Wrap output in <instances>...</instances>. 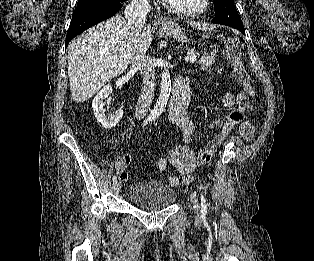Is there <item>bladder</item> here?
<instances>
[{
    "instance_id": "bladder-1",
    "label": "bladder",
    "mask_w": 314,
    "mask_h": 261,
    "mask_svg": "<svg viewBox=\"0 0 314 261\" xmlns=\"http://www.w3.org/2000/svg\"><path fill=\"white\" fill-rule=\"evenodd\" d=\"M177 197L174 186L158 180L133 183L127 192L128 200L140 209L156 211L171 207Z\"/></svg>"
}]
</instances>
